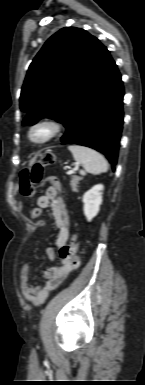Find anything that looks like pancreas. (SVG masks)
I'll list each match as a JSON object with an SVG mask.
<instances>
[{
  "label": "pancreas",
  "mask_w": 145,
  "mask_h": 385,
  "mask_svg": "<svg viewBox=\"0 0 145 385\" xmlns=\"http://www.w3.org/2000/svg\"><path fill=\"white\" fill-rule=\"evenodd\" d=\"M81 180L80 177L78 176H72L71 180H70V185H71V188H72V191L73 192H77L78 191V184H79V181Z\"/></svg>",
  "instance_id": "cf45deb5"
}]
</instances>
